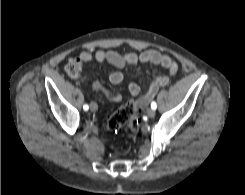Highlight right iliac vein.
<instances>
[{
    "label": "right iliac vein",
    "instance_id": "obj_1",
    "mask_svg": "<svg viewBox=\"0 0 245 195\" xmlns=\"http://www.w3.org/2000/svg\"><path fill=\"white\" fill-rule=\"evenodd\" d=\"M91 111H96L98 109V105L95 102H92L90 104Z\"/></svg>",
    "mask_w": 245,
    "mask_h": 195
}]
</instances>
